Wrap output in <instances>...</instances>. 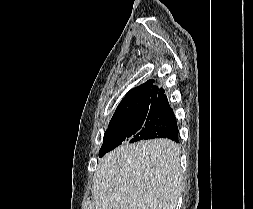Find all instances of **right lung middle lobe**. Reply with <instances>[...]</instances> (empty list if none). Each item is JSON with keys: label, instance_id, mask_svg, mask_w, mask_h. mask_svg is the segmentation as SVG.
<instances>
[{"label": "right lung middle lobe", "instance_id": "dd1d6c3e", "mask_svg": "<svg viewBox=\"0 0 253 209\" xmlns=\"http://www.w3.org/2000/svg\"><path fill=\"white\" fill-rule=\"evenodd\" d=\"M158 115V110L145 108L112 119L105 132L99 157H102L123 142L133 143L142 140L141 136L156 124Z\"/></svg>", "mask_w": 253, "mask_h": 209}]
</instances>
